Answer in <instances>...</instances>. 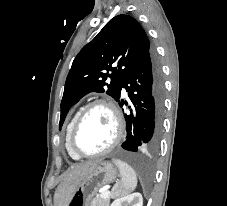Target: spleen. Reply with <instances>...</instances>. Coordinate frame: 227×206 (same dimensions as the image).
Segmentation results:
<instances>
[{
  "mask_svg": "<svg viewBox=\"0 0 227 206\" xmlns=\"http://www.w3.org/2000/svg\"><path fill=\"white\" fill-rule=\"evenodd\" d=\"M115 165L119 168L121 181L117 182L113 187V196L119 197L133 191L137 186V177L134 169L127 163L113 159Z\"/></svg>",
  "mask_w": 227,
  "mask_h": 206,
  "instance_id": "1",
  "label": "spleen"
}]
</instances>
